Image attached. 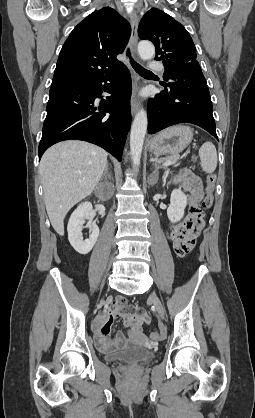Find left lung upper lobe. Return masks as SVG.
<instances>
[{
    "instance_id": "1",
    "label": "left lung upper lobe",
    "mask_w": 255,
    "mask_h": 418,
    "mask_svg": "<svg viewBox=\"0 0 255 418\" xmlns=\"http://www.w3.org/2000/svg\"><path fill=\"white\" fill-rule=\"evenodd\" d=\"M138 35L155 45V60L163 62L165 71L199 65L196 60V48L187 30L165 12L152 8L142 17Z\"/></svg>"
}]
</instances>
